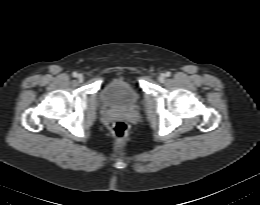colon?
<instances>
[{
  "mask_svg": "<svg viewBox=\"0 0 260 205\" xmlns=\"http://www.w3.org/2000/svg\"><path fill=\"white\" fill-rule=\"evenodd\" d=\"M111 132L117 141H122L128 132L127 124L124 121H116L112 124Z\"/></svg>",
  "mask_w": 260,
  "mask_h": 205,
  "instance_id": "1",
  "label": "colon"
}]
</instances>
